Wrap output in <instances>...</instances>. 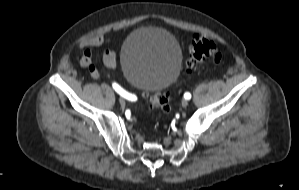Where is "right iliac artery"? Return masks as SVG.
Listing matches in <instances>:
<instances>
[{"mask_svg": "<svg viewBox=\"0 0 299 190\" xmlns=\"http://www.w3.org/2000/svg\"><path fill=\"white\" fill-rule=\"evenodd\" d=\"M113 88L115 89V91L120 94L122 97L131 100V101H135L137 99V97L134 94H131L127 91H125L121 86H119L117 83H113L112 84Z\"/></svg>", "mask_w": 299, "mask_h": 190, "instance_id": "1", "label": "right iliac artery"}]
</instances>
